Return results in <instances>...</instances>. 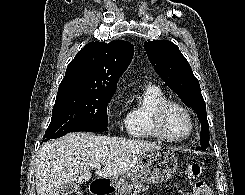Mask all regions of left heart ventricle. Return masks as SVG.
Segmentation results:
<instances>
[{
    "label": "left heart ventricle",
    "mask_w": 245,
    "mask_h": 195,
    "mask_svg": "<svg viewBox=\"0 0 245 195\" xmlns=\"http://www.w3.org/2000/svg\"><path fill=\"white\" fill-rule=\"evenodd\" d=\"M163 127L171 137H182L189 131V120L179 108L171 107L163 118Z\"/></svg>",
    "instance_id": "b2bd125f"
}]
</instances>
